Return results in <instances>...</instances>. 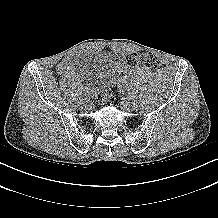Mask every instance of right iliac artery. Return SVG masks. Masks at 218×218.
Returning <instances> with one entry per match:
<instances>
[{
    "label": "right iliac artery",
    "mask_w": 218,
    "mask_h": 218,
    "mask_svg": "<svg viewBox=\"0 0 218 218\" xmlns=\"http://www.w3.org/2000/svg\"><path fill=\"white\" fill-rule=\"evenodd\" d=\"M84 91H85L84 94H85L86 96L89 95V94H88V88H85Z\"/></svg>",
    "instance_id": "obj_1"
}]
</instances>
